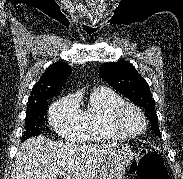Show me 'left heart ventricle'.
Masks as SVG:
<instances>
[{"instance_id": "obj_1", "label": "left heart ventricle", "mask_w": 183, "mask_h": 179, "mask_svg": "<svg viewBox=\"0 0 183 179\" xmlns=\"http://www.w3.org/2000/svg\"><path fill=\"white\" fill-rule=\"evenodd\" d=\"M142 119L140 115L133 109L124 111L120 118V126L127 133H136L142 128Z\"/></svg>"}]
</instances>
